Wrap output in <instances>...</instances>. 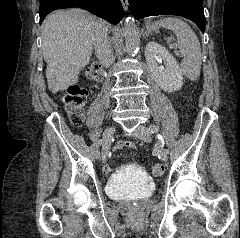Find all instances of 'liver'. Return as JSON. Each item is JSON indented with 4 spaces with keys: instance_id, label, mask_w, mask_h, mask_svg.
<instances>
[{
    "instance_id": "liver-1",
    "label": "liver",
    "mask_w": 240,
    "mask_h": 238,
    "mask_svg": "<svg viewBox=\"0 0 240 238\" xmlns=\"http://www.w3.org/2000/svg\"><path fill=\"white\" fill-rule=\"evenodd\" d=\"M98 25L108 27L81 9L55 11L44 21L42 51L52 93L77 83L80 71L90 62L92 34Z\"/></svg>"
}]
</instances>
